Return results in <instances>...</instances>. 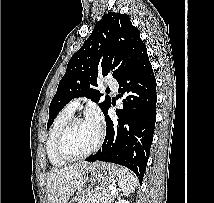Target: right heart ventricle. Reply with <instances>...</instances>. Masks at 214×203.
I'll list each match as a JSON object with an SVG mask.
<instances>
[{
    "label": "right heart ventricle",
    "mask_w": 214,
    "mask_h": 203,
    "mask_svg": "<svg viewBox=\"0 0 214 203\" xmlns=\"http://www.w3.org/2000/svg\"><path fill=\"white\" fill-rule=\"evenodd\" d=\"M74 109L69 106L65 107L55 118L46 141L47 156L54 166H63L66 161L62 160L56 153V140L60 130L73 117Z\"/></svg>",
    "instance_id": "right-heart-ventricle-1"
}]
</instances>
